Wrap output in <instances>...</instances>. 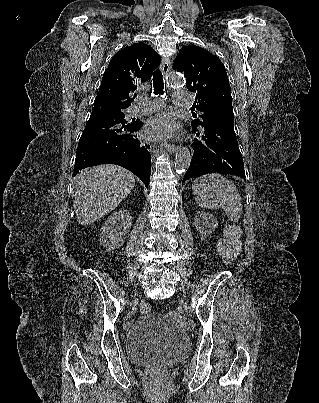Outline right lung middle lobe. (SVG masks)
<instances>
[{
	"label": "right lung middle lobe",
	"instance_id": "dd1d6c3e",
	"mask_svg": "<svg viewBox=\"0 0 319 403\" xmlns=\"http://www.w3.org/2000/svg\"><path fill=\"white\" fill-rule=\"evenodd\" d=\"M122 109L124 108L94 105V107L92 108L90 119L108 117L123 120L125 116L124 113L121 111Z\"/></svg>",
	"mask_w": 319,
	"mask_h": 403
}]
</instances>
